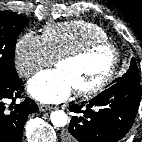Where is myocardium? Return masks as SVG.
<instances>
[{
    "label": "myocardium",
    "instance_id": "1",
    "mask_svg": "<svg viewBox=\"0 0 142 142\" xmlns=\"http://www.w3.org/2000/svg\"><path fill=\"white\" fill-rule=\"evenodd\" d=\"M100 48H107L111 51L112 62L110 64V67L106 74L94 85L87 88L75 89V93L79 96H94L101 92L111 82L117 72L118 65L120 62V52L118 48L112 42H109L107 40L92 41L75 50L64 53L56 59V65L63 61H76L86 57L90 53Z\"/></svg>",
    "mask_w": 142,
    "mask_h": 142
}]
</instances>
